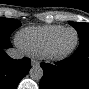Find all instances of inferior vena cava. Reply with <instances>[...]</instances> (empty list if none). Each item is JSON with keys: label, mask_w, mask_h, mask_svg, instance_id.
I'll return each instance as SVG.
<instances>
[{"label": "inferior vena cava", "mask_w": 89, "mask_h": 89, "mask_svg": "<svg viewBox=\"0 0 89 89\" xmlns=\"http://www.w3.org/2000/svg\"><path fill=\"white\" fill-rule=\"evenodd\" d=\"M6 52H7L8 56L13 59H22L24 57L23 52L18 49H15V48L7 49Z\"/></svg>", "instance_id": "602c4592"}]
</instances>
